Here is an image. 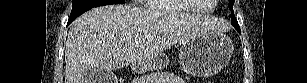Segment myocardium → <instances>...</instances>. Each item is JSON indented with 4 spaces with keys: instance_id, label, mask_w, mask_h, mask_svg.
Listing matches in <instances>:
<instances>
[{
    "instance_id": "myocardium-1",
    "label": "myocardium",
    "mask_w": 307,
    "mask_h": 83,
    "mask_svg": "<svg viewBox=\"0 0 307 83\" xmlns=\"http://www.w3.org/2000/svg\"><path fill=\"white\" fill-rule=\"evenodd\" d=\"M184 6L191 9L193 12L200 13V14H207L212 12L213 5L208 10H202L193 2V0H179Z\"/></svg>"
}]
</instances>
